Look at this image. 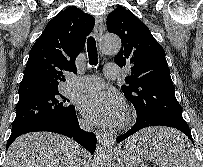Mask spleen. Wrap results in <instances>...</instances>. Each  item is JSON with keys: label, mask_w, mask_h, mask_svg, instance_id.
Instances as JSON below:
<instances>
[{"label": "spleen", "mask_w": 203, "mask_h": 167, "mask_svg": "<svg viewBox=\"0 0 203 167\" xmlns=\"http://www.w3.org/2000/svg\"><path fill=\"white\" fill-rule=\"evenodd\" d=\"M153 147L136 149L137 153L160 167H196L194 153L182 135L173 138L165 132L152 136Z\"/></svg>", "instance_id": "obj_1"}]
</instances>
